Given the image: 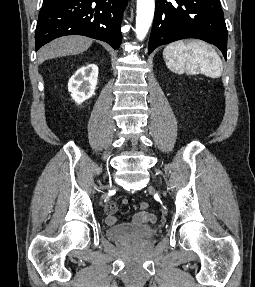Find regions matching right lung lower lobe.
Returning a JSON list of instances; mask_svg holds the SVG:
<instances>
[{
  "label": "right lung lower lobe",
  "instance_id": "obj_1",
  "mask_svg": "<svg viewBox=\"0 0 255 287\" xmlns=\"http://www.w3.org/2000/svg\"><path fill=\"white\" fill-rule=\"evenodd\" d=\"M127 0H50L40 10L35 31L38 50L65 35H84L119 49L121 21Z\"/></svg>",
  "mask_w": 255,
  "mask_h": 287
}]
</instances>
